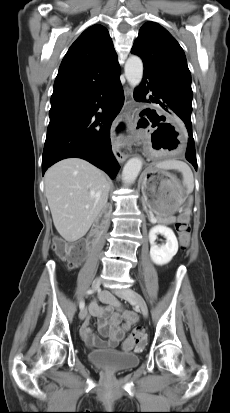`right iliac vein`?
<instances>
[{"label":"right iliac vein","instance_id":"obj_1","mask_svg":"<svg viewBox=\"0 0 230 413\" xmlns=\"http://www.w3.org/2000/svg\"><path fill=\"white\" fill-rule=\"evenodd\" d=\"M100 284H101V278L98 277V278L94 279V281L92 283V290L93 291L98 290L99 287H100ZM86 315H87V308H83L79 313V318L81 320H83L86 317Z\"/></svg>","mask_w":230,"mask_h":413}]
</instances>
